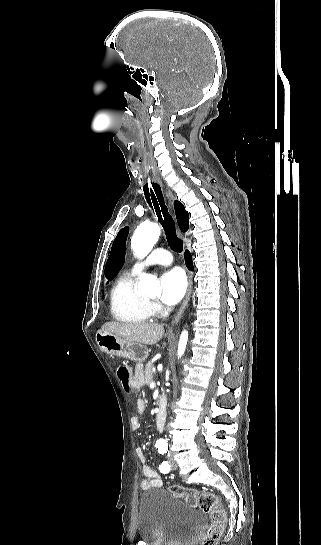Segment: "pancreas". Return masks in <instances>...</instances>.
<instances>
[{"label":"pancreas","instance_id":"pancreas-1","mask_svg":"<svg viewBox=\"0 0 321 545\" xmlns=\"http://www.w3.org/2000/svg\"><path fill=\"white\" fill-rule=\"evenodd\" d=\"M153 369H155V367H153V363H150L149 361V363H147L145 367V381L147 385H150V383H153L152 381Z\"/></svg>","mask_w":321,"mask_h":545}]
</instances>
